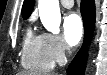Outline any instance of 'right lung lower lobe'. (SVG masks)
Returning <instances> with one entry per match:
<instances>
[{
    "mask_svg": "<svg viewBox=\"0 0 107 75\" xmlns=\"http://www.w3.org/2000/svg\"><path fill=\"white\" fill-rule=\"evenodd\" d=\"M80 9L84 23L85 45L70 63L68 67L69 75L84 74L85 63H86V45L94 29V23H95L94 1L82 0Z\"/></svg>",
    "mask_w": 107,
    "mask_h": 75,
    "instance_id": "98d812e1",
    "label": "right lung lower lobe"
}]
</instances>
